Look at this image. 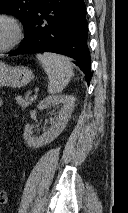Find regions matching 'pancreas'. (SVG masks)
Listing matches in <instances>:
<instances>
[{
	"label": "pancreas",
	"mask_w": 128,
	"mask_h": 213,
	"mask_svg": "<svg viewBox=\"0 0 128 213\" xmlns=\"http://www.w3.org/2000/svg\"><path fill=\"white\" fill-rule=\"evenodd\" d=\"M15 100H16V103L20 105L22 108H27L34 101L33 98H30V97L23 98L22 96H16Z\"/></svg>",
	"instance_id": "cf45deb5"
}]
</instances>
